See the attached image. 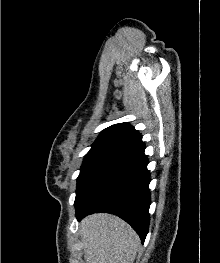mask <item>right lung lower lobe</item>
<instances>
[{"instance_id":"1","label":"right lung lower lobe","mask_w":220,"mask_h":263,"mask_svg":"<svg viewBox=\"0 0 220 263\" xmlns=\"http://www.w3.org/2000/svg\"><path fill=\"white\" fill-rule=\"evenodd\" d=\"M144 149L141 142L123 150L100 169L75 202L79 221L91 213L115 214L129 223L144 242L151 203Z\"/></svg>"}]
</instances>
